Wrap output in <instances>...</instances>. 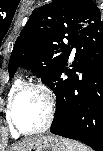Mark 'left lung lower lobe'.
Wrapping results in <instances>:
<instances>
[{
    "mask_svg": "<svg viewBox=\"0 0 103 151\" xmlns=\"http://www.w3.org/2000/svg\"><path fill=\"white\" fill-rule=\"evenodd\" d=\"M73 45L74 62L48 84L57 97L50 131L103 151V27L89 26Z\"/></svg>",
    "mask_w": 103,
    "mask_h": 151,
    "instance_id": "1",
    "label": "left lung lower lobe"
}]
</instances>
